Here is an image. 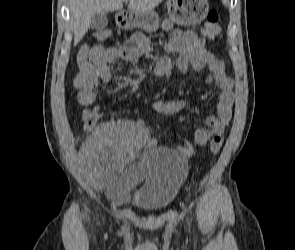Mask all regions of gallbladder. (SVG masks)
Instances as JSON below:
<instances>
[{
	"mask_svg": "<svg viewBox=\"0 0 295 250\" xmlns=\"http://www.w3.org/2000/svg\"><path fill=\"white\" fill-rule=\"evenodd\" d=\"M108 24L106 14H98L92 17L90 27L92 30H103Z\"/></svg>",
	"mask_w": 295,
	"mask_h": 250,
	"instance_id": "1",
	"label": "gallbladder"
}]
</instances>
